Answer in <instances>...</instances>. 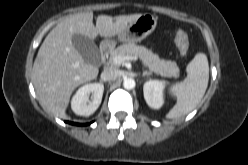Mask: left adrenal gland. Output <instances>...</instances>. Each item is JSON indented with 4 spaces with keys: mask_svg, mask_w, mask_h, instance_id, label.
I'll return each instance as SVG.
<instances>
[{
    "mask_svg": "<svg viewBox=\"0 0 248 165\" xmlns=\"http://www.w3.org/2000/svg\"><path fill=\"white\" fill-rule=\"evenodd\" d=\"M152 74V72H149V71H143V76H146V75H151Z\"/></svg>",
    "mask_w": 248,
    "mask_h": 165,
    "instance_id": "a2214340",
    "label": "left adrenal gland"
}]
</instances>
